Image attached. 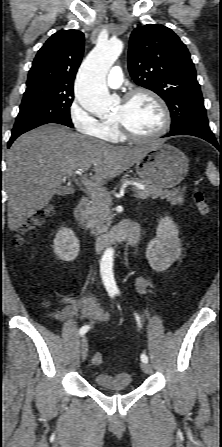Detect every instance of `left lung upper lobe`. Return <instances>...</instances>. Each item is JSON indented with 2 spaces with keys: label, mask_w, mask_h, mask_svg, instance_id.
<instances>
[{
  "label": "left lung upper lobe",
  "mask_w": 222,
  "mask_h": 447,
  "mask_svg": "<svg viewBox=\"0 0 222 447\" xmlns=\"http://www.w3.org/2000/svg\"><path fill=\"white\" fill-rule=\"evenodd\" d=\"M128 68L136 84L161 96L171 112V130L209 128L194 64L185 44L169 28L148 24L130 36Z\"/></svg>",
  "instance_id": "obj_1"
}]
</instances>
